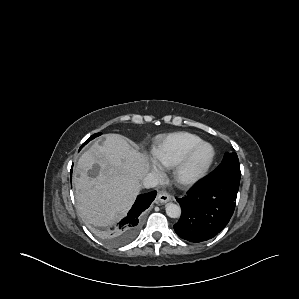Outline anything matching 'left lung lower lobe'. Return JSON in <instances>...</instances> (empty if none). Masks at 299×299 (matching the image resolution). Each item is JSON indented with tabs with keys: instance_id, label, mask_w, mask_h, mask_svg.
<instances>
[{
	"instance_id": "0a47b994",
	"label": "left lung lower lobe",
	"mask_w": 299,
	"mask_h": 299,
	"mask_svg": "<svg viewBox=\"0 0 299 299\" xmlns=\"http://www.w3.org/2000/svg\"><path fill=\"white\" fill-rule=\"evenodd\" d=\"M239 182L209 175L187 196L177 199L182 209L181 218L174 225L177 235L194 243L215 237L234 212Z\"/></svg>"
}]
</instances>
